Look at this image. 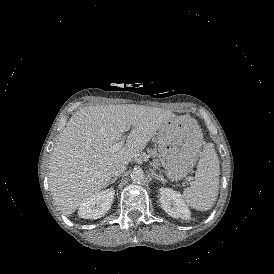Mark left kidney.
<instances>
[{
	"instance_id": "obj_1",
	"label": "left kidney",
	"mask_w": 274,
	"mask_h": 274,
	"mask_svg": "<svg viewBox=\"0 0 274 274\" xmlns=\"http://www.w3.org/2000/svg\"><path fill=\"white\" fill-rule=\"evenodd\" d=\"M160 205L163 210L174 218L188 220L190 212L181 199V195L171 189L161 188L159 194Z\"/></svg>"
}]
</instances>
